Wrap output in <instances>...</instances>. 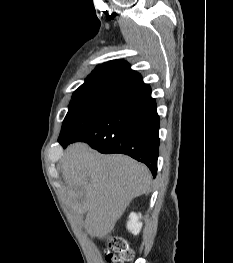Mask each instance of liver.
Listing matches in <instances>:
<instances>
[{
    "label": "liver",
    "instance_id": "1",
    "mask_svg": "<svg viewBox=\"0 0 233 263\" xmlns=\"http://www.w3.org/2000/svg\"><path fill=\"white\" fill-rule=\"evenodd\" d=\"M61 172L69 205L77 215L86 214L83 226L92 238L109 234L132 199L149 191L152 180L145 165L125 155H100L85 143L67 147Z\"/></svg>",
    "mask_w": 233,
    "mask_h": 263
}]
</instances>
